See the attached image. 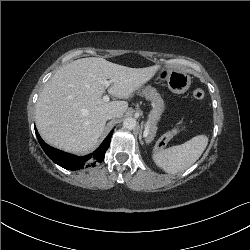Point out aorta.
Masks as SVG:
<instances>
[{
    "instance_id": "762f6f07",
    "label": "aorta",
    "mask_w": 250,
    "mask_h": 250,
    "mask_svg": "<svg viewBox=\"0 0 250 250\" xmlns=\"http://www.w3.org/2000/svg\"><path fill=\"white\" fill-rule=\"evenodd\" d=\"M123 127L128 130H133L136 127V120L134 118H126L123 122Z\"/></svg>"
}]
</instances>
